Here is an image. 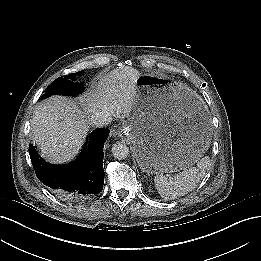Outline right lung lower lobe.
I'll return each instance as SVG.
<instances>
[{"label":"right lung lower lobe","mask_w":261,"mask_h":261,"mask_svg":"<svg viewBox=\"0 0 261 261\" xmlns=\"http://www.w3.org/2000/svg\"><path fill=\"white\" fill-rule=\"evenodd\" d=\"M108 136V129L92 131L89 145L86 144L82 155L65 165L49 164L30 145L29 154L38 179L56 195L70 201L83 200L101 192L104 184L103 148Z\"/></svg>","instance_id":"obj_1"}]
</instances>
